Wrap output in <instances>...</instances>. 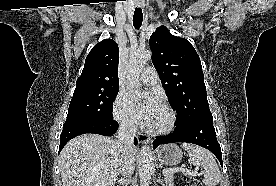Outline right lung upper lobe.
I'll return each mask as SVG.
<instances>
[{"mask_svg":"<svg viewBox=\"0 0 276 186\" xmlns=\"http://www.w3.org/2000/svg\"><path fill=\"white\" fill-rule=\"evenodd\" d=\"M119 48L111 39L97 43L88 56L76 89L91 87H119Z\"/></svg>","mask_w":276,"mask_h":186,"instance_id":"1","label":"right lung upper lobe"}]
</instances>
